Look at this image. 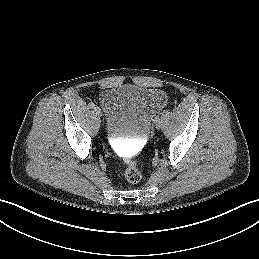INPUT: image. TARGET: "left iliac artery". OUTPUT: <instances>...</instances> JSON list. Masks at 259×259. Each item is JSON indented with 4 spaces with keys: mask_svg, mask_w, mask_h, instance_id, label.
<instances>
[{
    "mask_svg": "<svg viewBox=\"0 0 259 259\" xmlns=\"http://www.w3.org/2000/svg\"><path fill=\"white\" fill-rule=\"evenodd\" d=\"M155 121H156V122H159V121H160V118H159V117H156V118H155Z\"/></svg>",
    "mask_w": 259,
    "mask_h": 259,
    "instance_id": "obj_1",
    "label": "left iliac artery"
}]
</instances>
